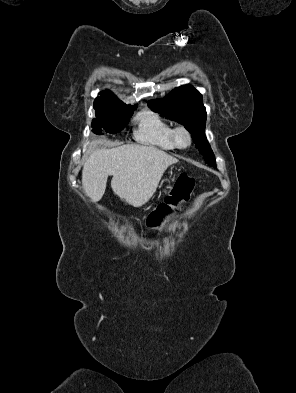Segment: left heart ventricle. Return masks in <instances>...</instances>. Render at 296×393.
I'll return each instance as SVG.
<instances>
[{
    "instance_id": "left-heart-ventricle-1",
    "label": "left heart ventricle",
    "mask_w": 296,
    "mask_h": 393,
    "mask_svg": "<svg viewBox=\"0 0 296 393\" xmlns=\"http://www.w3.org/2000/svg\"><path fill=\"white\" fill-rule=\"evenodd\" d=\"M179 141H180V143L185 144L187 142L186 136L184 134H180Z\"/></svg>"
}]
</instances>
